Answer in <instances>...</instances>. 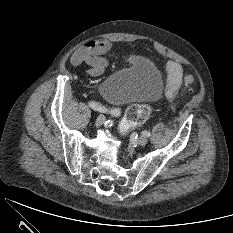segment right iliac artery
Returning <instances> with one entry per match:
<instances>
[{
    "instance_id": "1",
    "label": "right iliac artery",
    "mask_w": 233,
    "mask_h": 233,
    "mask_svg": "<svg viewBox=\"0 0 233 233\" xmlns=\"http://www.w3.org/2000/svg\"><path fill=\"white\" fill-rule=\"evenodd\" d=\"M89 106L94 110H97L99 112H103V113L108 114L112 117L120 116V110L118 108L105 107V106H103L97 102H94V101L89 102Z\"/></svg>"
}]
</instances>
